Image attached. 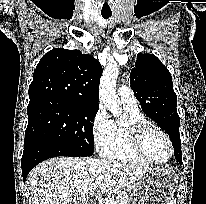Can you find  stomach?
I'll return each mask as SVG.
<instances>
[{
	"instance_id": "0dacf381",
	"label": "stomach",
	"mask_w": 206,
	"mask_h": 204,
	"mask_svg": "<svg viewBox=\"0 0 206 204\" xmlns=\"http://www.w3.org/2000/svg\"><path fill=\"white\" fill-rule=\"evenodd\" d=\"M177 184L171 168L149 169L124 193L128 204H171Z\"/></svg>"
}]
</instances>
